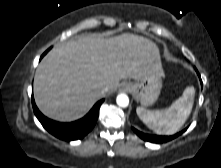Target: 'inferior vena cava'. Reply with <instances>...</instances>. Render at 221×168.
<instances>
[{"label":"inferior vena cava","mask_w":221,"mask_h":168,"mask_svg":"<svg viewBox=\"0 0 221 168\" xmlns=\"http://www.w3.org/2000/svg\"><path fill=\"white\" fill-rule=\"evenodd\" d=\"M108 90H109V89H108L107 87H105V88H103V89H102V91H101V92H102V94H105V93H107V92H108Z\"/></svg>","instance_id":"inferior-vena-cava-1"}]
</instances>
